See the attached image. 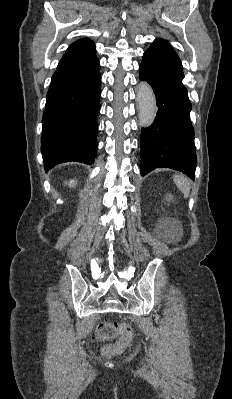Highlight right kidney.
I'll list each match as a JSON object with an SVG mask.
<instances>
[{
  "instance_id": "ca27d5eb",
  "label": "right kidney",
  "mask_w": 232,
  "mask_h": 399,
  "mask_svg": "<svg viewBox=\"0 0 232 399\" xmlns=\"http://www.w3.org/2000/svg\"><path fill=\"white\" fill-rule=\"evenodd\" d=\"M64 184H67V186H70V188H74V186H76L75 180H70V182H64Z\"/></svg>"
}]
</instances>
